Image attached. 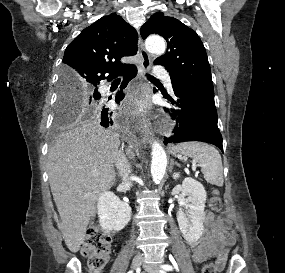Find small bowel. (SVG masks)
I'll list each match as a JSON object with an SVG mask.
<instances>
[{
	"instance_id": "obj_1",
	"label": "small bowel",
	"mask_w": 285,
	"mask_h": 273,
	"mask_svg": "<svg viewBox=\"0 0 285 273\" xmlns=\"http://www.w3.org/2000/svg\"><path fill=\"white\" fill-rule=\"evenodd\" d=\"M205 233L203 239L193 247L192 258L200 263L206 257L216 255V267L222 270L226 264L229 249L234 244L233 237L228 233L230 222L216 218L214 213L207 211L204 217Z\"/></svg>"
}]
</instances>
